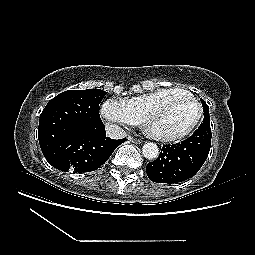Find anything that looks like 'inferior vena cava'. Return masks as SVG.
Returning <instances> with one entry per match:
<instances>
[{
	"mask_svg": "<svg viewBox=\"0 0 255 255\" xmlns=\"http://www.w3.org/2000/svg\"><path fill=\"white\" fill-rule=\"evenodd\" d=\"M107 136L112 139H123L126 137V132L116 124H108L106 126Z\"/></svg>",
	"mask_w": 255,
	"mask_h": 255,
	"instance_id": "inferior-vena-cava-1",
	"label": "inferior vena cava"
}]
</instances>
